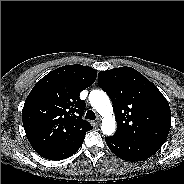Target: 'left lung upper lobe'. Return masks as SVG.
Wrapping results in <instances>:
<instances>
[{
    "label": "left lung upper lobe",
    "mask_w": 184,
    "mask_h": 184,
    "mask_svg": "<svg viewBox=\"0 0 184 184\" xmlns=\"http://www.w3.org/2000/svg\"><path fill=\"white\" fill-rule=\"evenodd\" d=\"M98 84L112 101L115 133L157 152L171 127L170 107L158 88L131 67L100 71Z\"/></svg>",
    "instance_id": "1"
}]
</instances>
